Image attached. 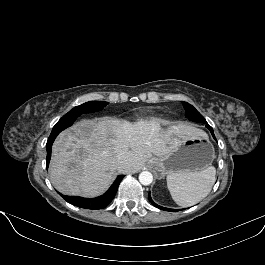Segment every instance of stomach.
I'll return each mask as SVG.
<instances>
[{"instance_id": "1", "label": "stomach", "mask_w": 265, "mask_h": 265, "mask_svg": "<svg viewBox=\"0 0 265 265\" xmlns=\"http://www.w3.org/2000/svg\"><path fill=\"white\" fill-rule=\"evenodd\" d=\"M214 148L207 135L178 139L170 153L150 160L159 177L173 173H190L206 169L214 160Z\"/></svg>"}]
</instances>
